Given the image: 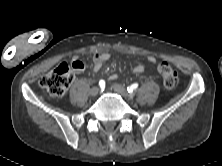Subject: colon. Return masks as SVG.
I'll list each match as a JSON object with an SVG mask.
<instances>
[{"label":"colon","mask_w":222,"mask_h":166,"mask_svg":"<svg viewBox=\"0 0 222 166\" xmlns=\"http://www.w3.org/2000/svg\"><path fill=\"white\" fill-rule=\"evenodd\" d=\"M81 66L62 63L39 79V85L52 97L63 96L74 80V70ZM163 85L167 89H174L179 84V75L175 68L163 62L158 66Z\"/></svg>","instance_id":"5ec220e1"}]
</instances>
